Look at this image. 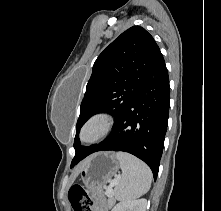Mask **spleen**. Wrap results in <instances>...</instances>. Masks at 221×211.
Masks as SVG:
<instances>
[{"instance_id": "obj_1", "label": "spleen", "mask_w": 221, "mask_h": 211, "mask_svg": "<svg viewBox=\"0 0 221 211\" xmlns=\"http://www.w3.org/2000/svg\"><path fill=\"white\" fill-rule=\"evenodd\" d=\"M122 170V177L115 187V198L120 201L133 200L146 194L151 186L152 172L138 158L124 152L115 154Z\"/></svg>"}]
</instances>
